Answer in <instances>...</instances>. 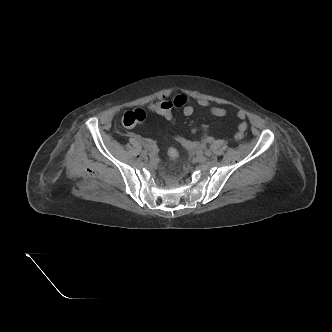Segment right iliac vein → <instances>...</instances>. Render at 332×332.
I'll list each match as a JSON object with an SVG mask.
<instances>
[{
	"label": "right iliac vein",
	"mask_w": 332,
	"mask_h": 332,
	"mask_svg": "<svg viewBox=\"0 0 332 332\" xmlns=\"http://www.w3.org/2000/svg\"><path fill=\"white\" fill-rule=\"evenodd\" d=\"M149 153H152V151H148V150H143L142 152H141V154L143 155V156H146V155H148Z\"/></svg>",
	"instance_id": "63e3f726"
}]
</instances>
